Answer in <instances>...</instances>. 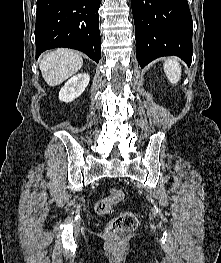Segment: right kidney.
Returning a JSON list of instances; mask_svg holds the SVG:
<instances>
[{"label":"right kidney","mask_w":221,"mask_h":263,"mask_svg":"<svg viewBox=\"0 0 221 263\" xmlns=\"http://www.w3.org/2000/svg\"><path fill=\"white\" fill-rule=\"evenodd\" d=\"M88 73H80L71 77L59 92V100L62 102H72L78 98L89 84Z\"/></svg>","instance_id":"right-kidney-1"}]
</instances>
